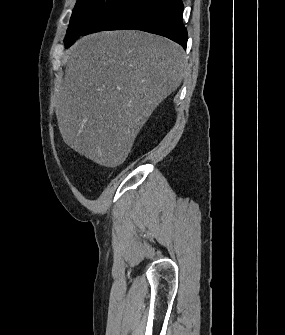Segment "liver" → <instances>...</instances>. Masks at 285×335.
Here are the masks:
<instances>
[{
  "label": "liver",
  "mask_w": 285,
  "mask_h": 335,
  "mask_svg": "<svg viewBox=\"0 0 285 335\" xmlns=\"http://www.w3.org/2000/svg\"><path fill=\"white\" fill-rule=\"evenodd\" d=\"M68 54L55 100L63 142L116 168L157 106L179 88L188 70L184 50L161 36L121 30L84 36Z\"/></svg>",
  "instance_id": "1"
}]
</instances>
